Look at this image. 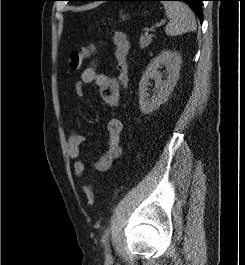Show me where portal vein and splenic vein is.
<instances>
[{
  "mask_svg": "<svg viewBox=\"0 0 245 265\" xmlns=\"http://www.w3.org/2000/svg\"><path fill=\"white\" fill-rule=\"evenodd\" d=\"M164 23H165L164 21H162V22H160V23H157L155 27H156V28H158V27H160L161 25H163ZM151 31L153 32V31H154V29H153V30H151Z\"/></svg>",
  "mask_w": 245,
  "mask_h": 265,
  "instance_id": "obj_1",
  "label": "portal vein and splenic vein"
}]
</instances>
